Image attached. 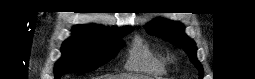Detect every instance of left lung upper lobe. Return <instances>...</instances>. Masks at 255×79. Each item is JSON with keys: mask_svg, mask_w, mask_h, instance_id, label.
Listing matches in <instances>:
<instances>
[{"mask_svg": "<svg viewBox=\"0 0 255 79\" xmlns=\"http://www.w3.org/2000/svg\"><path fill=\"white\" fill-rule=\"evenodd\" d=\"M147 32L155 34L169 41L175 46L183 48L188 54L190 61L199 70V78L203 77V68L196 58V46L193 40L184 34V28L180 23L158 19L149 23L146 27Z\"/></svg>", "mask_w": 255, "mask_h": 79, "instance_id": "1", "label": "left lung upper lobe"}]
</instances>
